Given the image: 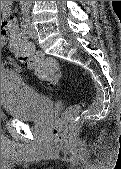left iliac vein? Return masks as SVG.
<instances>
[{"instance_id":"1","label":"left iliac vein","mask_w":121,"mask_h":169,"mask_svg":"<svg viewBox=\"0 0 121 169\" xmlns=\"http://www.w3.org/2000/svg\"><path fill=\"white\" fill-rule=\"evenodd\" d=\"M25 32L28 34V36L30 38H32V39H36L37 38V31H36V29H35V27L32 24L30 19H29L28 26H27Z\"/></svg>"}]
</instances>
